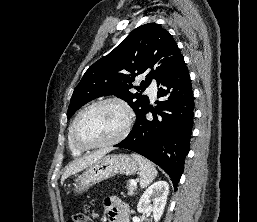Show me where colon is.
Here are the masks:
<instances>
[{
	"label": "colon",
	"mask_w": 257,
	"mask_h": 222,
	"mask_svg": "<svg viewBox=\"0 0 257 222\" xmlns=\"http://www.w3.org/2000/svg\"><path fill=\"white\" fill-rule=\"evenodd\" d=\"M95 218V213L91 210H86L84 212L77 213L67 222H93Z\"/></svg>",
	"instance_id": "5ec220e1"
}]
</instances>
